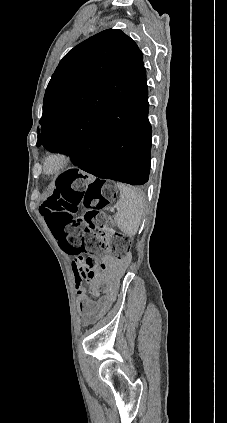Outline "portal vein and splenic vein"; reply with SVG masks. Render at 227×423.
<instances>
[{
	"mask_svg": "<svg viewBox=\"0 0 227 423\" xmlns=\"http://www.w3.org/2000/svg\"><path fill=\"white\" fill-rule=\"evenodd\" d=\"M111 212L115 213L116 212V206L115 205H111L110 206Z\"/></svg>",
	"mask_w": 227,
	"mask_h": 423,
	"instance_id": "18ae733b",
	"label": "portal vein and splenic vein"
}]
</instances>
